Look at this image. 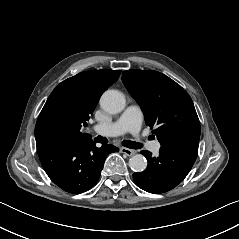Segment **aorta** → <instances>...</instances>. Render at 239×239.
I'll use <instances>...</instances> for the list:
<instances>
[{"mask_svg":"<svg viewBox=\"0 0 239 239\" xmlns=\"http://www.w3.org/2000/svg\"><path fill=\"white\" fill-rule=\"evenodd\" d=\"M102 109L110 114L122 112L126 107V98L123 93L118 90H107L103 93L100 99ZM129 165L134 172H142L147 167L146 158L137 154L129 159Z\"/></svg>","mask_w":239,"mask_h":239,"instance_id":"obj_1","label":"aorta"}]
</instances>
